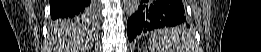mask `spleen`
<instances>
[{
	"label": "spleen",
	"mask_w": 261,
	"mask_h": 52,
	"mask_svg": "<svg viewBox=\"0 0 261 52\" xmlns=\"http://www.w3.org/2000/svg\"><path fill=\"white\" fill-rule=\"evenodd\" d=\"M152 52H182L188 45V36L180 27L157 30L151 34Z\"/></svg>",
	"instance_id": "obj_1"
}]
</instances>
